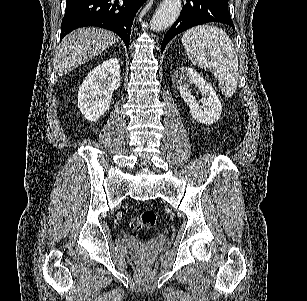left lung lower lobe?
Returning a JSON list of instances; mask_svg holds the SVG:
<instances>
[{
	"instance_id": "left-lung-lower-lobe-1",
	"label": "left lung lower lobe",
	"mask_w": 307,
	"mask_h": 301,
	"mask_svg": "<svg viewBox=\"0 0 307 301\" xmlns=\"http://www.w3.org/2000/svg\"><path fill=\"white\" fill-rule=\"evenodd\" d=\"M229 0H186L183 4L180 16L166 33L161 52L164 51L168 42L177 34L207 22H220L231 26L233 29L230 13L228 11Z\"/></svg>"
}]
</instances>
